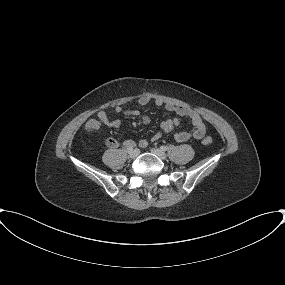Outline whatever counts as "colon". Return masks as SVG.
I'll return each mask as SVG.
<instances>
[{"mask_svg": "<svg viewBox=\"0 0 285 285\" xmlns=\"http://www.w3.org/2000/svg\"><path fill=\"white\" fill-rule=\"evenodd\" d=\"M212 143V139L210 137H206L204 140H203V144L204 145H210Z\"/></svg>", "mask_w": 285, "mask_h": 285, "instance_id": "obj_1", "label": "colon"}]
</instances>
